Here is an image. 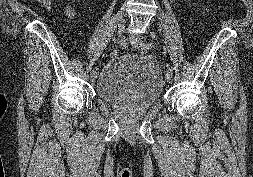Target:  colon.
Returning a JSON list of instances; mask_svg holds the SVG:
<instances>
[{"label":"colon","mask_w":253,"mask_h":177,"mask_svg":"<svg viewBox=\"0 0 253 177\" xmlns=\"http://www.w3.org/2000/svg\"><path fill=\"white\" fill-rule=\"evenodd\" d=\"M42 2L45 4V3L48 2V0H43ZM50 2H51V0H50ZM117 55H118V52H117L116 50H112V51L110 52V56H111V57H116Z\"/></svg>","instance_id":"1"}]
</instances>
